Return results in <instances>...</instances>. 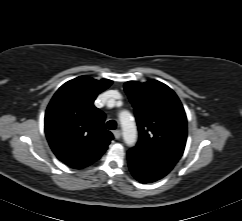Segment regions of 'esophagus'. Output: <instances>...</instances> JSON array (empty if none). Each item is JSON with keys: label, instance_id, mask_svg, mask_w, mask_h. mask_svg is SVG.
I'll list each match as a JSON object with an SVG mask.
<instances>
[{"label": "esophagus", "instance_id": "esophagus-1", "mask_svg": "<svg viewBox=\"0 0 242 221\" xmlns=\"http://www.w3.org/2000/svg\"><path fill=\"white\" fill-rule=\"evenodd\" d=\"M113 135H114L115 139L118 140L121 137V131L120 130H115V131H113Z\"/></svg>", "mask_w": 242, "mask_h": 221}]
</instances>
